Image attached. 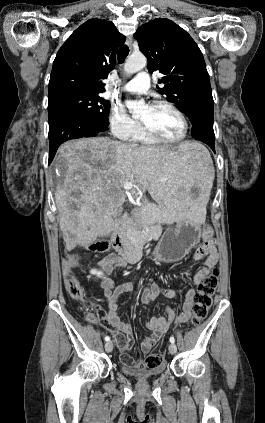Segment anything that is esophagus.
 <instances>
[{
  "label": "esophagus",
  "instance_id": "obj_1",
  "mask_svg": "<svg viewBox=\"0 0 265 423\" xmlns=\"http://www.w3.org/2000/svg\"><path fill=\"white\" fill-rule=\"evenodd\" d=\"M126 44H127V46H128L129 48H131V47H132V37H131V36H128V37H127V39H126Z\"/></svg>",
  "mask_w": 265,
  "mask_h": 423
}]
</instances>
